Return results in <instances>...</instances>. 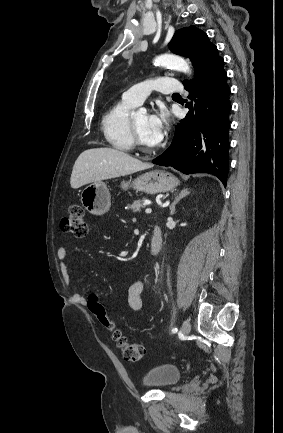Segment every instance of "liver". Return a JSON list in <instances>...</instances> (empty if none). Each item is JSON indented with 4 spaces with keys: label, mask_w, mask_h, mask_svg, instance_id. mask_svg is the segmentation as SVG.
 <instances>
[{
    "label": "liver",
    "mask_w": 283,
    "mask_h": 433,
    "mask_svg": "<svg viewBox=\"0 0 283 433\" xmlns=\"http://www.w3.org/2000/svg\"><path fill=\"white\" fill-rule=\"evenodd\" d=\"M153 164L133 158L127 152L116 148H88L79 154L74 162L70 184L72 188H79L88 182L125 176L137 170L151 168Z\"/></svg>",
    "instance_id": "1"
}]
</instances>
